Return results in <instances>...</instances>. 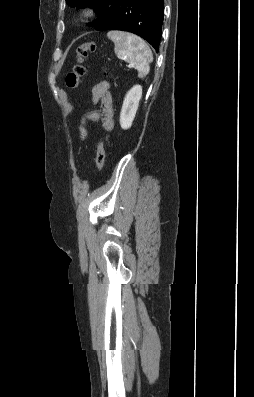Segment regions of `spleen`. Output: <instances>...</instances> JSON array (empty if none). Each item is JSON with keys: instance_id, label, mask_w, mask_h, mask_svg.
Instances as JSON below:
<instances>
[{"instance_id": "obj_1", "label": "spleen", "mask_w": 254, "mask_h": 397, "mask_svg": "<svg viewBox=\"0 0 254 397\" xmlns=\"http://www.w3.org/2000/svg\"><path fill=\"white\" fill-rule=\"evenodd\" d=\"M107 37L115 45L116 56L133 65L138 71L139 78H144L149 73L153 54L142 38L123 31H109Z\"/></svg>"}]
</instances>
